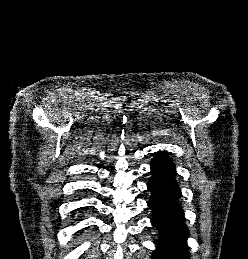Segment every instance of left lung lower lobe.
I'll return each mask as SVG.
<instances>
[{"label": "left lung lower lobe", "instance_id": "0a47b994", "mask_svg": "<svg viewBox=\"0 0 248 259\" xmlns=\"http://www.w3.org/2000/svg\"><path fill=\"white\" fill-rule=\"evenodd\" d=\"M150 173L148 206L153 213L152 225L160 231L152 259H190L186 245L189 232L178 202L181 191L175 181V166L166 152L156 153Z\"/></svg>", "mask_w": 248, "mask_h": 259}]
</instances>
